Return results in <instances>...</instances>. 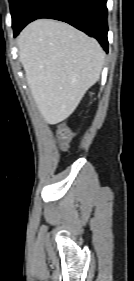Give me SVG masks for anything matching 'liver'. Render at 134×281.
Returning a JSON list of instances; mask_svg holds the SVG:
<instances>
[{
    "label": "liver",
    "mask_w": 134,
    "mask_h": 281,
    "mask_svg": "<svg viewBox=\"0 0 134 281\" xmlns=\"http://www.w3.org/2000/svg\"><path fill=\"white\" fill-rule=\"evenodd\" d=\"M17 45L27 84L48 124L68 118L100 78L102 47L67 23L33 21L22 30Z\"/></svg>",
    "instance_id": "1"
}]
</instances>
